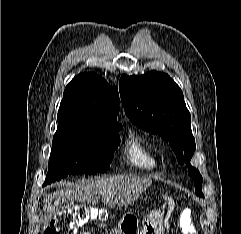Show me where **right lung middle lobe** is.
Wrapping results in <instances>:
<instances>
[{"label": "right lung middle lobe", "instance_id": "obj_1", "mask_svg": "<svg viewBox=\"0 0 241 234\" xmlns=\"http://www.w3.org/2000/svg\"><path fill=\"white\" fill-rule=\"evenodd\" d=\"M57 120L44 185L67 175L106 172L120 144L121 128L84 127L65 115H57Z\"/></svg>", "mask_w": 241, "mask_h": 234}]
</instances>
